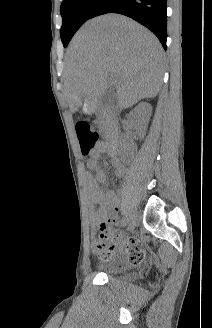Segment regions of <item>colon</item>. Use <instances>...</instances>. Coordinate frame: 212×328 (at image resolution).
I'll return each instance as SVG.
<instances>
[{"mask_svg": "<svg viewBox=\"0 0 212 328\" xmlns=\"http://www.w3.org/2000/svg\"><path fill=\"white\" fill-rule=\"evenodd\" d=\"M76 135L79 141L80 150L84 157L94 154L98 142V134L86 121H79L75 127ZM119 242V235L113 232L106 223L100 226V232L96 243V249L102 258H108L115 250ZM143 259V252L140 253L135 262Z\"/></svg>", "mask_w": 212, "mask_h": 328, "instance_id": "obj_1", "label": "colon"}]
</instances>
